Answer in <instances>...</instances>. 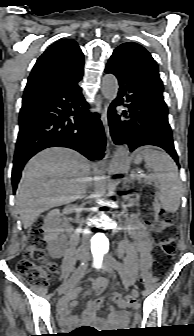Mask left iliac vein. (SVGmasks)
<instances>
[{
    "label": "left iliac vein",
    "instance_id": "4c4485c4",
    "mask_svg": "<svg viewBox=\"0 0 194 336\" xmlns=\"http://www.w3.org/2000/svg\"><path fill=\"white\" fill-rule=\"evenodd\" d=\"M119 265L120 263L115 258H113L111 255H107L105 257L104 270L108 272H112L114 269H117ZM131 293L134 298L139 297V292L136 289H133Z\"/></svg>",
    "mask_w": 194,
    "mask_h": 336
}]
</instances>
